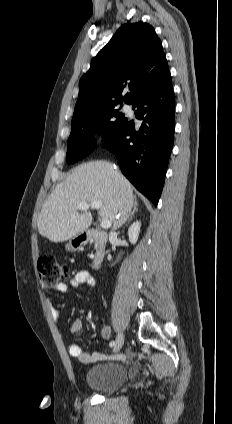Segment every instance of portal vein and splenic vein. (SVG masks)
Returning <instances> with one entry per match:
<instances>
[{"label":"portal vein and splenic vein","instance_id":"obj_1","mask_svg":"<svg viewBox=\"0 0 232 424\" xmlns=\"http://www.w3.org/2000/svg\"><path fill=\"white\" fill-rule=\"evenodd\" d=\"M101 206H102V202L100 201H92L91 203L83 202L78 205V209L85 211V210H88L89 207H92L94 209H99ZM111 224L112 222L109 219H102L101 221V227L104 229L111 227Z\"/></svg>","mask_w":232,"mask_h":424}]
</instances>
